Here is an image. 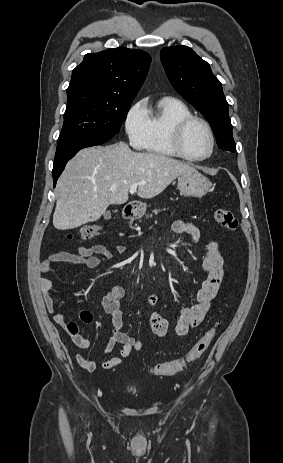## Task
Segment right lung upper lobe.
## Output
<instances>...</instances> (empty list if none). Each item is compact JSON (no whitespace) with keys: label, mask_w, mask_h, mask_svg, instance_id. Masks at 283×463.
Wrapping results in <instances>:
<instances>
[{"label":"right lung upper lobe","mask_w":283,"mask_h":463,"mask_svg":"<svg viewBox=\"0 0 283 463\" xmlns=\"http://www.w3.org/2000/svg\"><path fill=\"white\" fill-rule=\"evenodd\" d=\"M150 63L151 57L146 52L123 47L86 54L72 72L67 95L87 92L134 99Z\"/></svg>","instance_id":"obj_1"}]
</instances>
